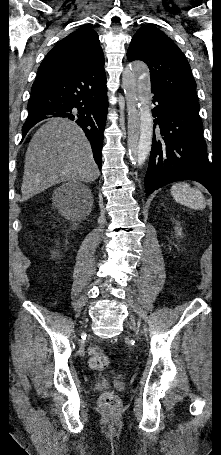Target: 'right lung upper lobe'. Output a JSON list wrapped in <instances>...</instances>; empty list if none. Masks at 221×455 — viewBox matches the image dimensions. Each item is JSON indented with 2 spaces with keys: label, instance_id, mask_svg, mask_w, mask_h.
Masks as SVG:
<instances>
[{
  "label": "right lung upper lobe",
  "instance_id": "right-lung-upper-lobe-1",
  "mask_svg": "<svg viewBox=\"0 0 221 455\" xmlns=\"http://www.w3.org/2000/svg\"><path fill=\"white\" fill-rule=\"evenodd\" d=\"M104 61L97 33L84 26L62 39L41 63L32 93L87 65Z\"/></svg>",
  "mask_w": 221,
  "mask_h": 455
}]
</instances>
